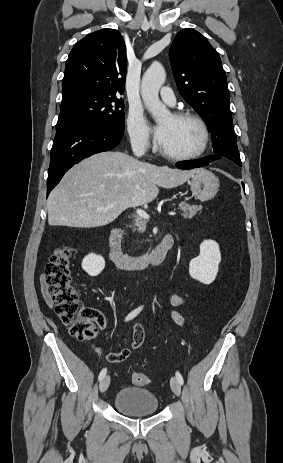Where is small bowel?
Instances as JSON below:
<instances>
[{
	"instance_id": "small-bowel-1",
	"label": "small bowel",
	"mask_w": 283,
	"mask_h": 463,
	"mask_svg": "<svg viewBox=\"0 0 283 463\" xmlns=\"http://www.w3.org/2000/svg\"><path fill=\"white\" fill-rule=\"evenodd\" d=\"M42 290L46 295V284L45 283H42ZM167 293H168V295L170 297L171 303L174 306L177 307V306H180V305L183 304L184 299L180 294L170 292V291H168ZM47 301H48V298H47ZM171 318L177 324H179V325L183 324V318L176 311H173L171 313ZM133 330H134V333H133V340H132V344H131V349H137L144 343L145 331L138 324L134 325ZM131 349L130 348H125V349H122V350L114 353V354H116L118 356V361L117 362L125 361L130 356Z\"/></svg>"
}]
</instances>
